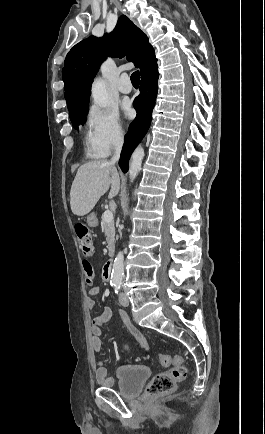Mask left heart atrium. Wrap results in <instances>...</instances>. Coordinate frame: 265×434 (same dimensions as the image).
<instances>
[{
	"label": "left heart atrium",
	"instance_id": "1",
	"mask_svg": "<svg viewBox=\"0 0 265 434\" xmlns=\"http://www.w3.org/2000/svg\"><path fill=\"white\" fill-rule=\"evenodd\" d=\"M127 115L129 116V117H132V115H133V111L131 110V109H127Z\"/></svg>",
	"mask_w": 265,
	"mask_h": 434
}]
</instances>
